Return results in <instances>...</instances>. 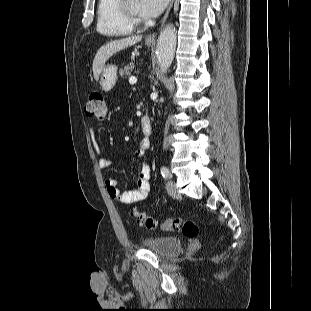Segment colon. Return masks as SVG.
<instances>
[{
    "mask_svg": "<svg viewBox=\"0 0 311 311\" xmlns=\"http://www.w3.org/2000/svg\"><path fill=\"white\" fill-rule=\"evenodd\" d=\"M106 112L107 107L104 94L100 91L91 92L85 105L86 115L94 118H104L106 116ZM130 214L139 224L148 229L159 228L163 231H178L188 238H194L199 233L197 224L190 219L178 217L166 219L162 223H159L152 216H149L137 209L131 210Z\"/></svg>",
    "mask_w": 311,
    "mask_h": 311,
    "instance_id": "colon-1",
    "label": "colon"
}]
</instances>
